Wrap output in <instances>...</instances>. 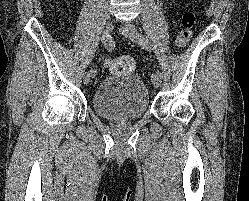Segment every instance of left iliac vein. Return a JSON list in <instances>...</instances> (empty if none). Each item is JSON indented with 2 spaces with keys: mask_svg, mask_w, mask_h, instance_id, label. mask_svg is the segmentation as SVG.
Instances as JSON below:
<instances>
[{
  "mask_svg": "<svg viewBox=\"0 0 249 201\" xmlns=\"http://www.w3.org/2000/svg\"><path fill=\"white\" fill-rule=\"evenodd\" d=\"M121 32L128 39L137 42V35L139 34L132 24L125 23L120 28ZM151 81L154 87L158 88L161 84V76L158 74H152Z\"/></svg>",
  "mask_w": 249,
  "mask_h": 201,
  "instance_id": "obj_1",
  "label": "left iliac vein"
}]
</instances>
